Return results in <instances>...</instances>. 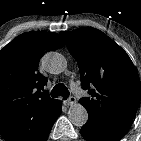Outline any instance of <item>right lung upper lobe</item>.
I'll use <instances>...</instances> for the list:
<instances>
[{"instance_id":"right-lung-upper-lobe-1","label":"right lung upper lobe","mask_w":141,"mask_h":141,"mask_svg":"<svg viewBox=\"0 0 141 141\" xmlns=\"http://www.w3.org/2000/svg\"><path fill=\"white\" fill-rule=\"evenodd\" d=\"M56 33L27 32L0 51V134L5 136L23 119L60 101L41 93L47 79L38 72L43 54L63 47Z\"/></svg>"}]
</instances>
